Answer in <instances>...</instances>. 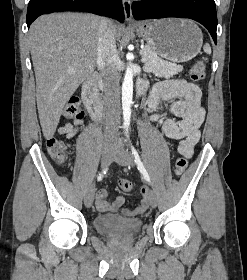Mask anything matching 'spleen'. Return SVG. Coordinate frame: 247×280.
<instances>
[{"label":"spleen","instance_id":"3e777b00","mask_svg":"<svg viewBox=\"0 0 247 280\" xmlns=\"http://www.w3.org/2000/svg\"><path fill=\"white\" fill-rule=\"evenodd\" d=\"M203 50L207 54H211V47L209 44L204 45Z\"/></svg>","mask_w":247,"mask_h":280}]
</instances>
